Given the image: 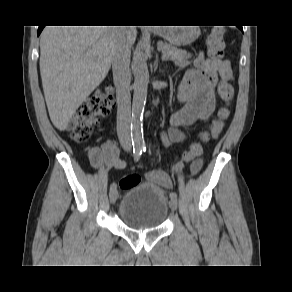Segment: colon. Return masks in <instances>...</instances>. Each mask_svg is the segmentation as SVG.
I'll return each mask as SVG.
<instances>
[{"label": "colon", "instance_id": "obj_1", "mask_svg": "<svg viewBox=\"0 0 292 292\" xmlns=\"http://www.w3.org/2000/svg\"><path fill=\"white\" fill-rule=\"evenodd\" d=\"M224 27H215L207 38L206 45L208 55L212 59H222L225 51ZM218 94L224 106L218 111L219 119H227L231 114V104L234 98L232 85L225 80L218 84ZM113 107L112 88L106 86L96 90L79 108L75 116L69 122L68 130L75 142L86 141L93 133L99 119L106 116ZM200 142L193 143L183 154V160L192 161L203 153L202 142L208 139L206 131L200 133ZM140 183V176L129 174L120 181L121 189H128Z\"/></svg>", "mask_w": 292, "mask_h": 292}]
</instances>
